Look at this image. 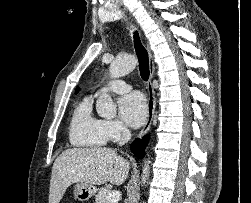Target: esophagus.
Masks as SVG:
<instances>
[{"label":"esophagus","mask_w":251,"mask_h":203,"mask_svg":"<svg viewBox=\"0 0 251 203\" xmlns=\"http://www.w3.org/2000/svg\"><path fill=\"white\" fill-rule=\"evenodd\" d=\"M149 67H150V77H149V81L147 84V89H148L147 119H146V122H145L143 128L141 129V131L138 134L139 138H142L147 133V131L150 129L151 124H152V120H153V116H154V109H155L154 90H153V86H152V79L154 76L155 67H154V61H153L150 50H149Z\"/></svg>","instance_id":"obj_1"}]
</instances>
